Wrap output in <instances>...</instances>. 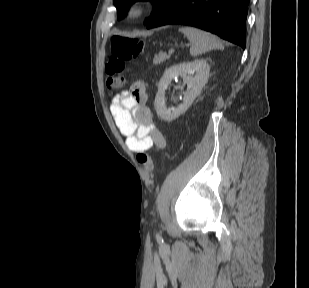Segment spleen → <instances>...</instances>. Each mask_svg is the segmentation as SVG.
<instances>
[{"instance_id": "3e777b00", "label": "spleen", "mask_w": 309, "mask_h": 288, "mask_svg": "<svg viewBox=\"0 0 309 288\" xmlns=\"http://www.w3.org/2000/svg\"><path fill=\"white\" fill-rule=\"evenodd\" d=\"M179 31L189 39L191 43L190 54L194 57L212 49L223 48L220 39L209 32L194 27H183Z\"/></svg>"}]
</instances>
